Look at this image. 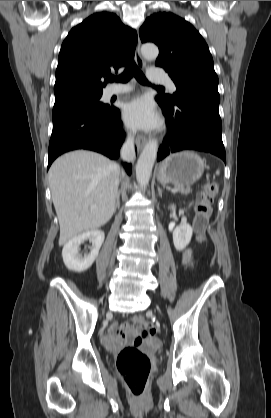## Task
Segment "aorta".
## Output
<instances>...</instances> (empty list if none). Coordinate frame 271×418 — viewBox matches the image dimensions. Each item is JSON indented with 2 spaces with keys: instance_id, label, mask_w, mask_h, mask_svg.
<instances>
[{
  "instance_id": "aorta-1",
  "label": "aorta",
  "mask_w": 271,
  "mask_h": 418,
  "mask_svg": "<svg viewBox=\"0 0 271 418\" xmlns=\"http://www.w3.org/2000/svg\"><path fill=\"white\" fill-rule=\"evenodd\" d=\"M141 53L146 59H156L159 51L154 44H145L141 47ZM158 143L156 140H149L145 145L136 164V178L141 187H147L154 162L157 158Z\"/></svg>"
}]
</instances>
